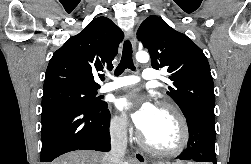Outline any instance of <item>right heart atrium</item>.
Segmentation results:
<instances>
[{
    "instance_id": "obj_1",
    "label": "right heart atrium",
    "mask_w": 251,
    "mask_h": 164,
    "mask_svg": "<svg viewBox=\"0 0 251 164\" xmlns=\"http://www.w3.org/2000/svg\"><path fill=\"white\" fill-rule=\"evenodd\" d=\"M110 129L114 135L124 136L128 129L126 118L122 115H114L110 121Z\"/></svg>"
}]
</instances>
